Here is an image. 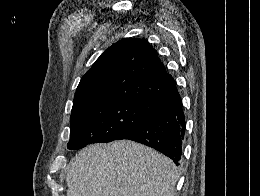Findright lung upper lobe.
<instances>
[{"label":"right lung upper lobe","mask_w":260,"mask_h":196,"mask_svg":"<svg viewBox=\"0 0 260 196\" xmlns=\"http://www.w3.org/2000/svg\"><path fill=\"white\" fill-rule=\"evenodd\" d=\"M175 84L146 40L126 38L109 47L82 77L73 106L110 99L142 104Z\"/></svg>","instance_id":"1"}]
</instances>
